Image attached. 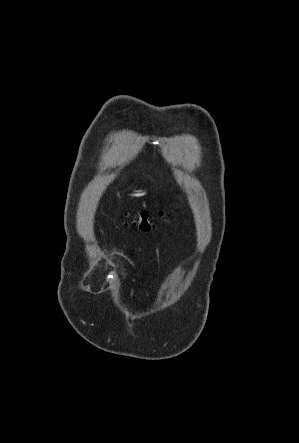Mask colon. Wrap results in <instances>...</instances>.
Masks as SVG:
<instances>
[{
  "mask_svg": "<svg viewBox=\"0 0 299 443\" xmlns=\"http://www.w3.org/2000/svg\"><path fill=\"white\" fill-rule=\"evenodd\" d=\"M158 215L160 217H164L165 212L159 211ZM129 219V224L137 227L142 231H151L155 228V222L153 220V216L148 211H140L134 214L127 215Z\"/></svg>",
  "mask_w": 299,
  "mask_h": 443,
  "instance_id": "5ec220e1",
  "label": "colon"
}]
</instances>
